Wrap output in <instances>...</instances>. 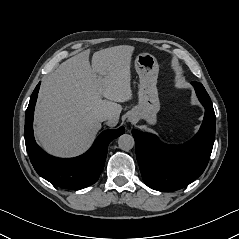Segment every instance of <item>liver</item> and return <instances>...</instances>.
I'll return each instance as SVG.
<instances>
[{"mask_svg":"<svg viewBox=\"0 0 239 239\" xmlns=\"http://www.w3.org/2000/svg\"><path fill=\"white\" fill-rule=\"evenodd\" d=\"M134 48L121 45L81 52L63 62L42 82L35 108V136L55 156L84 153L101 129L99 114L116 126L119 103L132 98L131 59ZM104 98V99H103Z\"/></svg>","mask_w":239,"mask_h":239,"instance_id":"obj_1","label":"liver"}]
</instances>
